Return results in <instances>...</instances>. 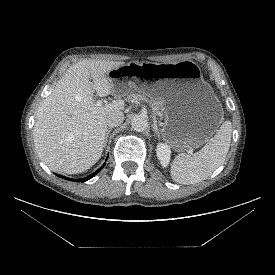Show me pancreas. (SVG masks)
I'll list each match as a JSON object with an SVG mask.
<instances>
[{"label": "pancreas", "mask_w": 275, "mask_h": 275, "mask_svg": "<svg viewBox=\"0 0 275 275\" xmlns=\"http://www.w3.org/2000/svg\"><path fill=\"white\" fill-rule=\"evenodd\" d=\"M128 101L130 102H138V101H144L147 102L152 110L162 119L163 118V112H162V105L163 102L159 99L156 100L155 98H147L145 95L139 94V93H131L128 96Z\"/></svg>", "instance_id": "obj_1"}]
</instances>
